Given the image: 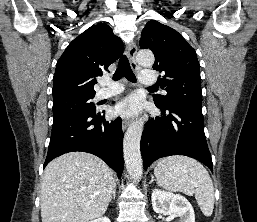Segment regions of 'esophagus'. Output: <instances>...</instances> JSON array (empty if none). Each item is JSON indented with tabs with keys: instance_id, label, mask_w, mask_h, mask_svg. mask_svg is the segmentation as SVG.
<instances>
[{
	"instance_id": "obj_1",
	"label": "esophagus",
	"mask_w": 257,
	"mask_h": 222,
	"mask_svg": "<svg viewBox=\"0 0 257 222\" xmlns=\"http://www.w3.org/2000/svg\"><path fill=\"white\" fill-rule=\"evenodd\" d=\"M126 52H127V56H128V59L130 61V64H131V67L134 69V70H138L139 67L136 63V60H135V57H136V53H137V47L135 45V43H129L126 47ZM130 124V120L129 119H124L123 122H122V129L123 131L126 130V128L129 126Z\"/></svg>"
}]
</instances>
